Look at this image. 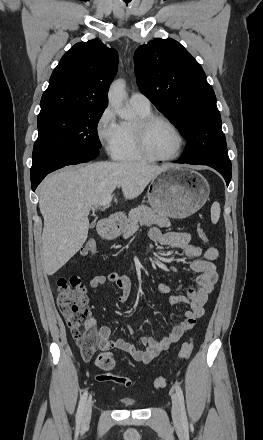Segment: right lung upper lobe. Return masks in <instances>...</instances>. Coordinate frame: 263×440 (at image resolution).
<instances>
[{
	"instance_id": "cb5924a9",
	"label": "right lung upper lobe",
	"mask_w": 263,
	"mask_h": 440,
	"mask_svg": "<svg viewBox=\"0 0 263 440\" xmlns=\"http://www.w3.org/2000/svg\"><path fill=\"white\" fill-rule=\"evenodd\" d=\"M118 68L115 49L98 39L75 44L54 69L41 99V111L105 109Z\"/></svg>"
}]
</instances>
